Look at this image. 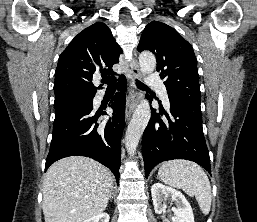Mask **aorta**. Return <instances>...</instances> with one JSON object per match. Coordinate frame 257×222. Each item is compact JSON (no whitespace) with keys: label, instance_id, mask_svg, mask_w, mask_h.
<instances>
[{"label":"aorta","instance_id":"762f6f07","mask_svg":"<svg viewBox=\"0 0 257 222\" xmlns=\"http://www.w3.org/2000/svg\"><path fill=\"white\" fill-rule=\"evenodd\" d=\"M140 71L148 74L154 71L156 67L155 56L151 52H143L139 55ZM151 110L149 101L143 99L135 110L132 119L128 125L125 135V147L129 155H134L139 140L150 120Z\"/></svg>","mask_w":257,"mask_h":222}]
</instances>
